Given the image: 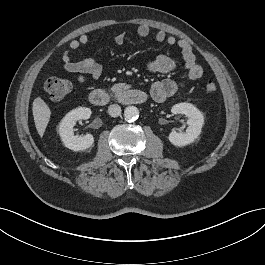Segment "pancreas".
Listing matches in <instances>:
<instances>
[{
  "label": "pancreas",
  "mask_w": 265,
  "mask_h": 265,
  "mask_svg": "<svg viewBox=\"0 0 265 265\" xmlns=\"http://www.w3.org/2000/svg\"><path fill=\"white\" fill-rule=\"evenodd\" d=\"M124 89V85L123 84H115L111 90L114 92V93H119L121 91H123Z\"/></svg>",
  "instance_id": "cf45deb5"
}]
</instances>
